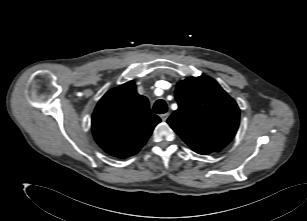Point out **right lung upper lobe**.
<instances>
[{
  "mask_svg": "<svg viewBox=\"0 0 307 221\" xmlns=\"http://www.w3.org/2000/svg\"><path fill=\"white\" fill-rule=\"evenodd\" d=\"M160 121L150 110L148 99L129 81L108 91L98 102L92 131L106 153L124 159L141 149Z\"/></svg>",
  "mask_w": 307,
  "mask_h": 221,
  "instance_id": "right-lung-upper-lobe-1",
  "label": "right lung upper lobe"
}]
</instances>
